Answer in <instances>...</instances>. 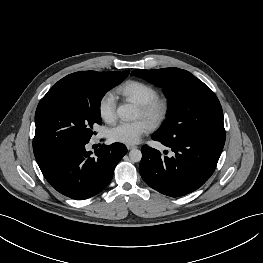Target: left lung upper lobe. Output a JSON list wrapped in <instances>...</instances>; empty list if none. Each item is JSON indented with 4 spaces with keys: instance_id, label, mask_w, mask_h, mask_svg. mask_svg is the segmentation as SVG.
Here are the masks:
<instances>
[{
    "instance_id": "5c2ea615",
    "label": "left lung upper lobe",
    "mask_w": 263,
    "mask_h": 263,
    "mask_svg": "<svg viewBox=\"0 0 263 263\" xmlns=\"http://www.w3.org/2000/svg\"><path fill=\"white\" fill-rule=\"evenodd\" d=\"M131 75L163 87L168 98V118L155 134L170 139L225 133L218 98L190 72L179 68L139 69L132 71Z\"/></svg>"
}]
</instances>
